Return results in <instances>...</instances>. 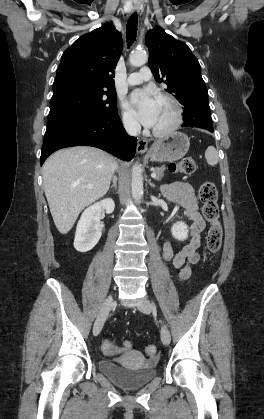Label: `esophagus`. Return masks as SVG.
I'll return each instance as SVG.
<instances>
[{
  "label": "esophagus",
  "mask_w": 264,
  "mask_h": 419,
  "mask_svg": "<svg viewBox=\"0 0 264 419\" xmlns=\"http://www.w3.org/2000/svg\"><path fill=\"white\" fill-rule=\"evenodd\" d=\"M140 10L139 5H134L133 12L138 13ZM148 148V142L146 139L140 138L137 142V153L143 154L147 151Z\"/></svg>",
  "instance_id": "esophagus-1"
}]
</instances>
